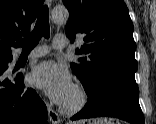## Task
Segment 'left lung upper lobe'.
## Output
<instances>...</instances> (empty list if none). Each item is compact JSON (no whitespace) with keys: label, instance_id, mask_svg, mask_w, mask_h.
<instances>
[{"label":"left lung upper lobe","instance_id":"5c2ea615","mask_svg":"<svg viewBox=\"0 0 156 124\" xmlns=\"http://www.w3.org/2000/svg\"><path fill=\"white\" fill-rule=\"evenodd\" d=\"M63 3L69 11L66 35L71 41L81 36L85 42L76 50L82 57L70 66L86 94L108 83L138 90L134 27L123 0H63Z\"/></svg>","mask_w":156,"mask_h":124}]
</instances>
